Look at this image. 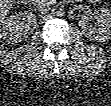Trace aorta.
Listing matches in <instances>:
<instances>
[{
	"label": "aorta",
	"instance_id": "obj_1",
	"mask_svg": "<svg viewBox=\"0 0 111 106\" xmlns=\"http://www.w3.org/2000/svg\"><path fill=\"white\" fill-rule=\"evenodd\" d=\"M63 14H64V11L62 10V9H58L57 11H56V15L57 16H63Z\"/></svg>",
	"mask_w": 111,
	"mask_h": 106
}]
</instances>
